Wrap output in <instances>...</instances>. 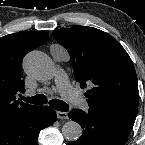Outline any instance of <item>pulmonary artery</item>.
Returning a JSON list of instances; mask_svg holds the SVG:
<instances>
[{
  "mask_svg": "<svg viewBox=\"0 0 145 145\" xmlns=\"http://www.w3.org/2000/svg\"><path fill=\"white\" fill-rule=\"evenodd\" d=\"M55 80L57 84V90L59 93L66 98L71 104L87 111L89 109V104L86 99L80 95V93L72 87L66 73L58 68L55 72ZM31 93L28 92L27 95Z\"/></svg>",
  "mask_w": 145,
  "mask_h": 145,
  "instance_id": "e3ab8cb5",
  "label": "pulmonary artery"
}]
</instances>
